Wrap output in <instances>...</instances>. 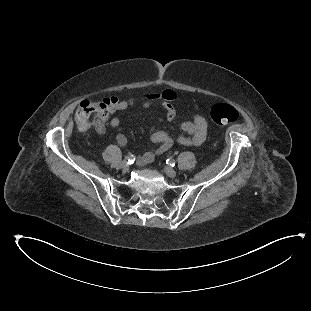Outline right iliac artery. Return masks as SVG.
Listing matches in <instances>:
<instances>
[{"instance_id":"right-iliac-artery-1","label":"right iliac artery","mask_w":311,"mask_h":311,"mask_svg":"<svg viewBox=\"0 0 311 311\" xmlns=\"http://www.w3.org/2000/svg\"><path fill=\"white\" fill-rule=\"evenodd\" d=\"M125 161H126L127 163L132 164V163L135 161V156L132 155V154H129V155H127V156L125 157Z\"/></svg>"}]
</instances>
